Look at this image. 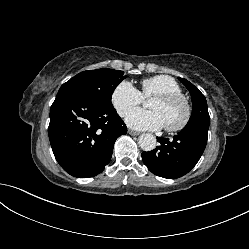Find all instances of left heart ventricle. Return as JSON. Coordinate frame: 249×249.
<instances>
[{
	"label": "left heart ventricle",
	"instance_id": "b2bd125f",
	"mask_svg": "<svg viewBox=\"0 0 249 249\" xmlns=\"http://www.w3.org/2000/svg\"><path fill=\"white\" fill-rule=\"evenodd\" d=\"M149 108L160 114L164 125H176L184 117V107L180 103L167 104L153 99L149 103Z\"/></svg>",
	"mask_w": 249,
	"mask_h": 249
}]
</instances>
